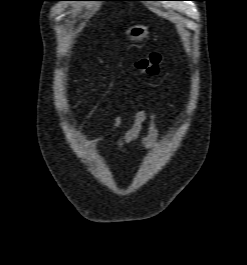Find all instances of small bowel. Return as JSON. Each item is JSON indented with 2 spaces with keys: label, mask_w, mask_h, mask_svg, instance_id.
I'll return each mask as SVG.
<instances>
[{
  "label": "small bowel",
  "mask_w": 247,
  "mask_h": 265,
  "mask_svg": "<svg viewBox=\"0 0 247 265\" xmlns=\"http://www.w3.org/2000/svg\"><path fill=\"white\" fill-rule=\"evenodd\" d=\"M148 117L150 122L147 134L138 142V146L143 148L152 147L156 144L159 134L158 114L153 109L150 111L146 110L138 111L135 114L130 127L124 133L119 132V127L121 125V118L116 117L110 129L104 134L93 139L88 144V146L92 148L98 147L102 145L104 142H106L111 136L116 135L118 138V149L122 150L124 147L133 144L137 140L141 132L142 125Z\"/></svg>",
  "instance_id": "small-bowel-1"
}]
</instances>
